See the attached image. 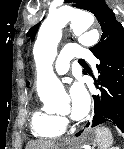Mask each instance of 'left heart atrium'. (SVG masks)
Wrapping results in <instances>:
<instances>
[{
  "mask_svg": "<svg viewBox=\"0 0 124 149\" xmlns=\"http://www.w3.org/2000/svg\"><path fill=\"white\" fill-rule=\"evenodd\" d=\"M71 117L75 120L84 118L90 109V96L81 81H76L70 87Z\"/></svg>",
  "mask_w": 124,
  "mask_h": 149,
  "instance_id": "1",
  "label": "left heart atrium"
}]
</instances>
